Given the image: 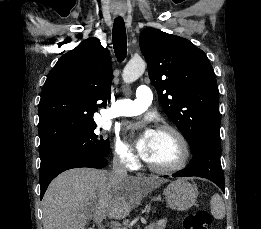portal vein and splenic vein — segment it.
I'll return each mask as SVG.
<instances>
[{"label":"portal vein and splenic vein","mask_w":261,"mask_h":229,"mask_svg":"<svg viewBox=\"0 0 261 229\" xmlns=\"http://www.w3.org/2000/svg\"><path fill=\"white\" fill-rule=\"evenodd\" d=\"M154 227L153 221H150L148 226L142 227V229H152Z\"/></svg>","instance_id":"portal-vein-and-splenic-vein-1"}]
</instances>
